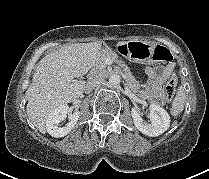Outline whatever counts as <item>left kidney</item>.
Segmentation results:
<instances>
[{
  "mask_svg": "<svg viewBox=\"0 0 209 179\" xmlns=\"http://www.w3.org/2000/svg\"><path fill=\"white\" fill-rule=\"evenodd\" d=\"M133 122L135 127L143 134L156 137L164 133L170 126V116L165 109L157 104H151L149 106L148 118L150 123L145 122L137 107H133L131 110Z\"/></svg>",
  "mask_w": 209,
  "mask_h": 179,
  "instance_id": "obj_1",
  "label": "left kidney"
}]
</instances>
